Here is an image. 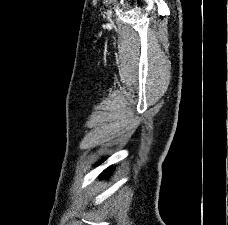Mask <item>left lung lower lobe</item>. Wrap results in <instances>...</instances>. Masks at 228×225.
<instances>
[{
	"instance_id": "1",
	"label": "left lung lower lobe",
	"mask_w": 228,
	"mask_h": 225,
	"mask_svg": "<svg viewBox=\"0 0 228 225\" xmlns=\"http://www.w3.org/2000/svg\"><path fill=\"white\" fill-rule=\"evenodd\" d=\"M112 169H107L106 171H104L102 174H101V177H106L108 176V174L111 172Z\"/></svg>"
}]
</instances>
